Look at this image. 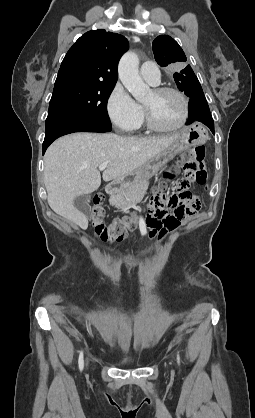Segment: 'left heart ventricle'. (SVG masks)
I'll return each instance as SVG.
<instances>
[{
    "label": "left heart ventricle",
    "instance_id": "obj_1",
    "mask_svg": "<svg viewBox=\"0 0 255 418\" xmlns=\"http://www.w3.org/2000/svg\"><path fill=\"white\" fill-rule=\"evenodd\" d=\"M143 104L150 110L155 122L162 127H172L183 116V103L174 93L156 94L153 91Z\"/></svg>",
    "mask_w": 255,
    "mask_h": 418
}]
</instances>
